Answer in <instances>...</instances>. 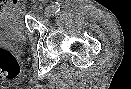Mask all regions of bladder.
Segmentation results:
<instances>
[{
    "mask_svg": "<svg viewBox=\"0 0 131 89\" xmlns=\"http://www.w3.org/2000/svg\"><path fill=\"white\" fill-rule=\"evenodd\" d=\"M23 14L15 8L0 10V43L19 44L27 37Z\"/></svg>",
    "mask_w": 131,
    "mask_h": 89,
    "instance_id": "bladder-1",
    "label": "bladder"
}]
</instances>
